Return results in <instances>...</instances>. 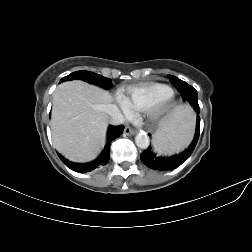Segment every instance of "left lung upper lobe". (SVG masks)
<instances>
[{
  "mask_svg": "<svg viewBox=\"0 0 252 252\" xmlns=\"http://www.w3.org/2000/svg\"><path fill=\"white\" fill-rule=\"evenodd\" d=\"M170 82L175 86L176 83H180V82H184L182 80H180L179 78L172 76V75H168Z\"/></svg>",
  "mask_w": 252,
  "mask_h": 252,
  "instance_id": "1",
  "label": "left lung upper lobe"
}]
</instances>
